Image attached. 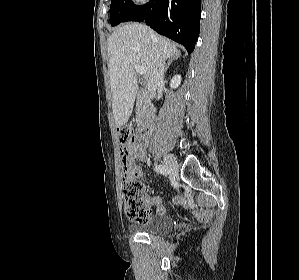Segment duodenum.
Returning <instances> with one entry per match:
<instances>
[{"mask_svg": "<svg viewBox=\"0 0 299 280\" xmlns=\"http://www.w3.org/2000/svg\"><path fill=\"white\" fill-rule=\"evenodd\" d=\"M139 100L146 106L144 118L140 123V132L143 136H148L153 130V112L149 105V95L146 91H141L139 94Z\"/></svg>", "mask_w": 299, "mask_h": 280, "instance_id": "1", "label": "duodenum"}]
</instances>
